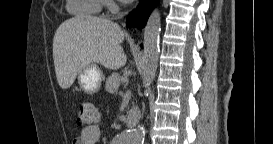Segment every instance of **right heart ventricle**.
<instances>
[{"instance_id": "right-heart-ventricle-1", "label": "right heart ventricle", "mask_w": 273, "mask_h": 144, "mask_svg": "<svg viewBox=\"0 0 273 144\" xmlns=\"http://www.w3.org/2000/svg\"><path fill=\"white\" fill-rule=\"evenodd\" d=\"M103 5V0H68L67 9L75 16H91L98 14Z\"/></svg>"}]
</instances>
